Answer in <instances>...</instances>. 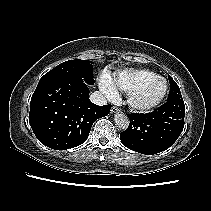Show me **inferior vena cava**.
I'll use <instances>...</instances> for the list:
<instances>
[{
  "label": "inferior vena cava",
  "mask_w": 211,
  "mask_h": 211,
  "mask_svg": "<svg viewBox=\"0 0 211 211\" xmlns=\"http://www.w3.org/2000/svg\"><path fill=\"white\" fill-rule=\"evenodd\" d=\"M90 100L92 103L102 106L107 104L106 97L99 91H95L90 95Z\"/></svg>",
  "instance_id": "obj_1"
}]
</instances>
